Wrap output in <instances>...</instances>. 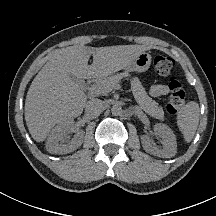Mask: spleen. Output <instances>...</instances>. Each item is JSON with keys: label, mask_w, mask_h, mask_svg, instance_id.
<instances>
[{"label": "spleen", "mask_w": 216, "mask_h": 216, "mask_svg": "<svg viewBox=\"0 0 216 216\" xmlns=\"http://www.w3.org/2000/svg\"><path fill=\"white\" fill-rule=\"evenodd\" d=\"M199 115V105L193 101L181 108L177 115V126L186 142H190L194 137L199 124Z\"/></svg>", "instance_id": "3e777b00"}]
</instances>
